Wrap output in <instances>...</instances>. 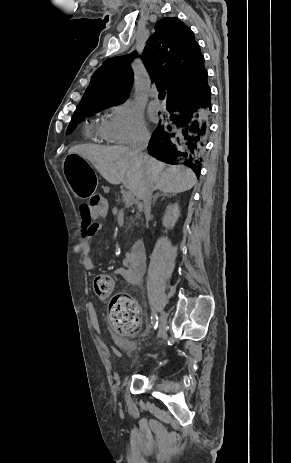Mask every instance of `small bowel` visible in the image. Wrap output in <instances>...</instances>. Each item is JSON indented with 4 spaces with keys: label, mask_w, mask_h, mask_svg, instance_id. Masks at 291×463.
<instances>
[{
    "label": "small bowel",
    "mask_w": 291,
    "mask_h": 463,
    "mask_svg": "<svg viewBox=\"0 0 291 463\" xmlns=\"http://www.w3.org/2000/svg\"><path fill=\"white\" fill-rule=\"evenodd\" d=\"M81 240L77 244V251L82 255V263L87 270L93 271L101 267V262H95L91 256L92 240L101 230V224L96 220L93 212L89 216L80 208ZM145 271L143 256H137L128 252L124 259V266L116 270V274L125 281L139 285Z\"/></svg>",
    "instance_id": "1"
}]
</instances>
